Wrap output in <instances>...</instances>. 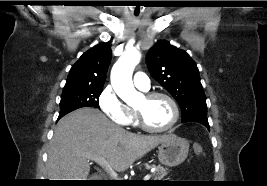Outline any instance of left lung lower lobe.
<instances>
[{"label": "left lung lower lobe", "instance_id": "0a47b994", "mask_svg": "<svg viewBox=\"0 0 267 186\" xmlns=\"http://www.w3.org/2000/svg\"><path fill=\"white\" fill-rule=\"evenodd\" d=\"M201 124H203L204 126H206L209 129V124L208 123H201Z\"/></svg>", "mask_w": 267, "mask_h": 186}]
</instances>
